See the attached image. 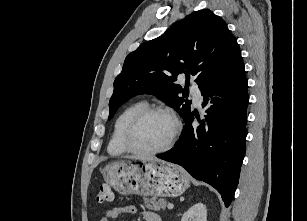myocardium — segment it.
Returning <instances> with one entry per match:
<instances>
[{"label":"myocardium","instance_id":"myocardium-1","mask_svg":"<svg viewBox=\"0 0 307 221\" xmlns=\"http://www.w3.org/2000/svg\"><path fill=\"white\" fill-rule=\"evenodd\" d=\"M151 114H162L166 115L169 118L172 119L173 124H174V129L173 132L170 136V138L167 140V142L156 149L153 150H145L137 147L134 144L133 141V136L135 133V130L137 126L140 124V122L147 117L148 115ZM181 131V125L176 117V115L169 109L163 108V107H157V106H147L140 111H138L127 123L123 136H122V142L126 150L130 153L136 154V155H141V156H151V155H157L163 152H166L169 150L173 144L175 143L177 137L179 136V133Z\"/></svg>","mask_w":307,"mask_h":221}]
</instances>
